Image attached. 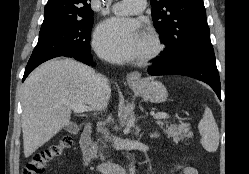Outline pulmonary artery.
Instances as JSON below:
<instances>
[{
  "label": "pulmonary artery",
  "mask_w": 249,
  "mask_h": 174,
  "mask_svg": "<svg viewBox=\"0 0 249 174\" xmlns=\"http://www.w3.org/2000/svg\"><path fill=\"white\" fill-rule=\"evenodd\" d=\"M146 6V0H122L112 6V11L119 15L141 12Z\"/></svg>",
  "instance_id": "1"
}]
</instances>
